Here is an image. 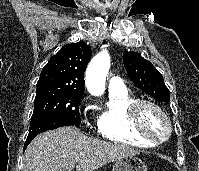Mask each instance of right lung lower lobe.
<instances>
[{
	"mask_svg": "<svg viewBox=\"0 0 199 171\" xmlns=\"http://www.w3.org/2000/svg\"><path fill=\"white\" fill-rule=\"evenodd\" d=\"M74 125L71 121L57 117V116H45L36 118L31 121L29 134L24 144V149L29 145L31 140L39 133H42L47 130L56 129L62 126Z\"/></svg>",
	"mask_w": 199,
	"mask_h": 171,
	"instance_id": "1",
	"label": "right lung lower lobe"
}]
</instances>
